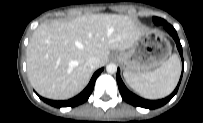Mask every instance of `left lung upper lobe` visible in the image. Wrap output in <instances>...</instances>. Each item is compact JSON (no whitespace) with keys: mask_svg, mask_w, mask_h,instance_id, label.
<instances>
[{"mask_svg":"<svg viewBox=\"0 0 203 123\" xmlns=\"http://www.w3.org/2000/svg\"><path fill=\"white\" fill-rule=\"evenodd\" d=\"M160 20L161 18L153 17V21L155 24H161Z\"/></svg>","mask_w":203,"mask_h":123,"instance_id":"obj_1","label":"left lung upper lobe"}]
</instances>
